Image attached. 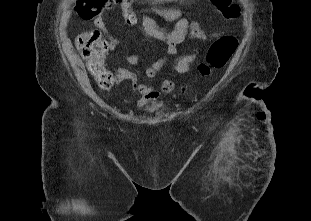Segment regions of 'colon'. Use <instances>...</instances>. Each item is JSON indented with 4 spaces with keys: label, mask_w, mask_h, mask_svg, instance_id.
Listing matches in <instances>:
<instances>
[{
    "label": "colon",
    "mask_w": 311,
    "mask_h": 221,
    "mask_svg": "<svg viewBox=\"0 0 311 221\" xmlns=\"http://www.w3.org/2000/svg\"><path fill=\"white\" fill-rule=\"evenodd\" d=\"M126 4V20L127 23L135 22V15L129 8L132 0H80L74 1L73 15L79 17L80 22H88L89 17H99L101 8L103 12H113V5L105 4ZM216 7L221 9L223 16L227 20H235L240 17L242 2L235 0H215ZM86 4V5H84ZM188 33L194 39L202 40L204 38V29L199 21H192L188 26ZM76 47L86 60L89 73L98 83L100 87L106 88L111 86L115 77L111 69L105 64L109 52L108 42L102 37V33L98 30L85 31L76 38ZM238 47V35L230 34V36H221L210 46L206 60L198 66L200 76H209L214 69L224 67L229 59L233 56ZM186 88H182L184 92Z\"/></svg>",
    "instance_id": "colon-1"
}]
</instances>
